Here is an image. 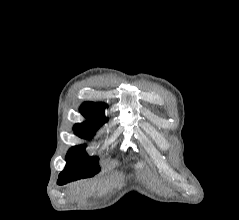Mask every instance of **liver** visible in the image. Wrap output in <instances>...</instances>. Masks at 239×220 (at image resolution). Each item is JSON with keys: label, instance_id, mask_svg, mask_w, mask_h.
Returning <instances> with one entry per match:
<instances>
[{"label": "liver", "instance_id": "liver-1", "mask_svg": "<svg viewBox=\"0 0 239 220\" xmlns=\"http://www.w3.org/2000/svg\"><path fill=\"white\" fill-rule=\"evenodd\" d=\"M73 193L77 195H88L98 189L96 184L92 183H76L71 186Z\"/></svg>", "mask_w": 239, "mask_h": 220}]
</instances>
